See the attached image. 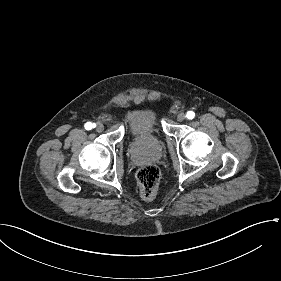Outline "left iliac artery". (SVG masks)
I'll list each match as a JSON object with an SVG mask.
<instances>
[{
  "mask_svg": "<svg viewBox=\"0 0 281 281\" xmlns=\"http://www.w3.org/2000/svg\"><path fill=\"white\" fill-rule=\"evenodd\" d=\"M195 117V113L193 111L187 112V118L188 119H193Z\"/></svg>",
  "mask_w": 281,
  "mask_h": 281,
  "instance_id": "44dca946",
  "label": "left iliac artery"
}]
</instances>
